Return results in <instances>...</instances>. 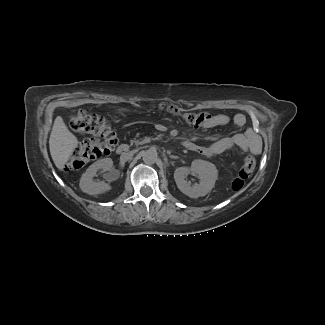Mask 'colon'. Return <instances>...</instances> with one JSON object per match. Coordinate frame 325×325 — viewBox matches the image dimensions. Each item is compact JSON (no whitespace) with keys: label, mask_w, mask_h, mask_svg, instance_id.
<instances>
[{"label":"colon","mask_w":325,"mask_h":325,"mask_svg":"<svg viewBox=\"0 0 325 325\" xmlns=\"http://www.w3.org/2000/svg\"><path fill=\"white\" fill-rule=\"evenodd\" d=\"M167 111L180 116L189 126L200 127L206 123L210 116L207 113H181L174 106L167 107ZM71 128L81 134L88 135L75 149L67 167L78 169L88 162L110 154L117 144V136L110 123L101 115L81 110L70 117ZM256 167V160L247 155L241 164L237 177L232 182L233 190L244 187Z\"/></svg>","instance_id":"1"}]
</instances>
